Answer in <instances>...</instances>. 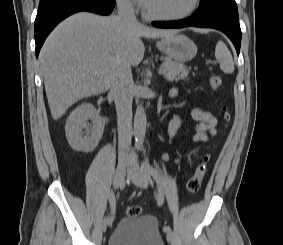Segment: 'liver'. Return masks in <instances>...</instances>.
Returning a JSON list of instances; mask_svg holds the SVG:
<instances>
[{
	"label": "liver",
	"mask_w": 283,
	"mask_h": 245,
	"mask_svg": "<svg viewBox=\"0 0 283 245\" xmlns=\"http://www.w3.org/2000/svg\"><path fill=\"white\" fill-rule=\"evenodd\" d=\"M175 33L125 22L115 15L81 12L65 19L48 36L39 55L52 118L58 120L82 98L108 91L119 68L138 65L145 52L141 37Z\"/></svg>",
	"instance_id": "obj_1"
}]
</instances>
